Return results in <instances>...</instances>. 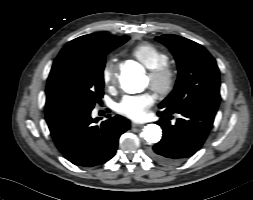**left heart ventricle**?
Segmentation results:
<instances>
[{
    "label": "left heart ventricle",
    "instance_id": "1",
    "mask_svg": "<svg viewBox=\"0 0 253 200\" xmlns=\"http://www.w3.org/2000/svg\"><path fill=\"white\" fill-rule=\"evenodd\" d=\"M151 83V81H150V78L148 77V84H150Z\"/></svg>",
    "mask_w": 253,
    "mask_h": 200
}]
</instances>
